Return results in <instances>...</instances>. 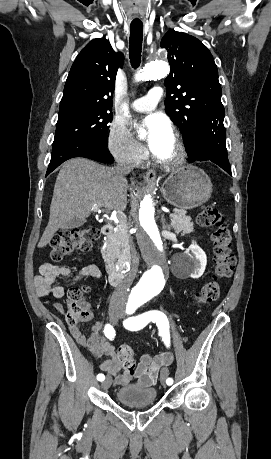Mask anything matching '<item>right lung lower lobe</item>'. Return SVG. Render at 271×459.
Masks as SVG:
<instances>
[{"label": "right lung lower lobe", "instance_id": "1", "mask_svg": "<svg viewBox=\"0 0 271 459\" xmlns=\"http://www.w3.org/2000/svg\"><path fill=\"white\" fill-rule=\"evenodd\" d=\"M74 157H85L104 163H112L114 161L107 149V143L90 140H72L53 147L46 176L61 163Z\"/></svg>", "mask_w": 271, "mask_h": 459}]
</instances>
